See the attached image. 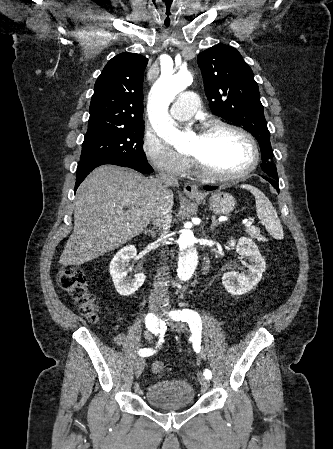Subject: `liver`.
Masks as SVG:
<instances>
[{
    "label": "liver",
    "mask_w": 333,
    "mask_h": 449,
    "mask_svg": "<svg viewBox=\"0 0 333 449\" xmlns=\"http://www.w3.org/2000/svg\"><path fill=\"white\" fill-rule=\"evenodd\" d=\"M159 193L156 179L131 169L97 167L76 191L74 230L60 263L83 264L139 235L152 219ZM165 194L172 208L173 192Z\"/></svg>",
    "instance_id": "6515ba94"
}]
</instances>
